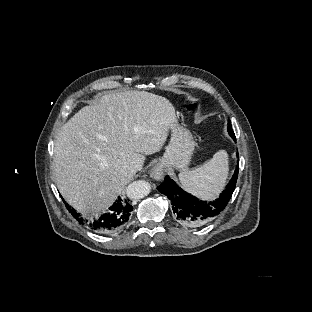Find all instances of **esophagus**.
Instances as JSON below:
<instances>
[{"label": "esophagus", "mask_w": 312, "mask_h": 312, "mask_svg": "<svg viewBox=\"0 0 312 312\" xmlns=\"http://www.w3.org/2000/svg\"><path fill=\"white\" fill-rule=\"evenodd\" d=\"M150 176L155 180H161L163 178V172L160 168L154 167L150 170Z\"/></svg>", "instance_id": "esophagus-1"}]
</instances>
